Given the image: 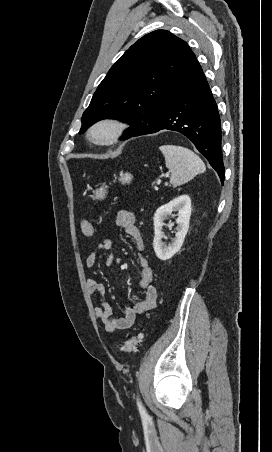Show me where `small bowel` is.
Masks as SVG:
<instances>
[{
  "label": "small bowel",
  "instance_id": "1",
  "mask_svg": "<svg viewBox=\"0 0 272 452\" xmlns=\"http://www.w3.org/2000/svg\"><path fill=\"white\" fill-rule=\"evenodd\" d=\"M116 225L128 236H130L134 242L138 253V263L140 266V278L138 286L145 291V298L141 301H137L129 304L124 311V315L119 318L112 317V309L110 305L102 298L104 294V286L92 278L86 280V286L91 298L97 299V305L95 308V314L97 318L103 323L107 332H116L130 328L137 317L154 308L157 303V291L152 286L153 272L149 265L148 259L144 256L145 244L139 229L136 226V217L133 212L128 210H120L116 215ZM117 241L113 238H104L100 241L95 250L92 251L85 258V266L92 268L95 265L97 252L108 251V255L105 258V265L111 266L118 262L113 248Z\"/></svg>",
  "mask_w": 272,
  "mask_h": 452
}]
</instances>
